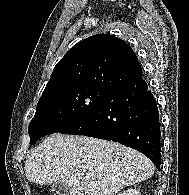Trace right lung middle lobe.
Segmentation results:
<instances>
[{
	"label": "right lung middle lobe",
	"mask_w": 189,
	"mask_h": 195,
	"mask_svg": "<svg viewBox=\"0 0 189 195\" xmlns=\"http://www.w3.org/2000/svg\"><path fill=\"white\" fill-rule=\"evenodd\" d=\"M111 91L97 88H71L40 97L29 125L30 145L46 135L61 132L83 118Z\"/></svg>",
	"instance_id": "dd1d6c3e"
}]
</instances>
